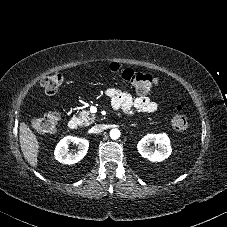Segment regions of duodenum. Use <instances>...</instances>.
<instances>
[{
	"instance_id": "obj_1",
	"label": "duodenum",
	"mask_w": 227,
	"mask_h": 227,
	"mask_svg": "<svg viewBox=\"0 0 227 227\" xmlns=\"http://www.w3.org/2000/svg\"><path fill=\"white\" fill-rule=\"evenodd\" d=\"M79 126V121L77 118H72L70 119L69 123H68V127L71 129V130H76Z\"/></svg>"
}]
</instances>
